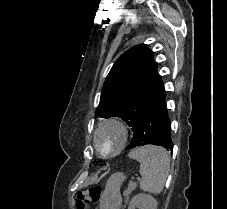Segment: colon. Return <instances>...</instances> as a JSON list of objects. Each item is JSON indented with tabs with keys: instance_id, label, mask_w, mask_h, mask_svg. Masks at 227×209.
I'll list each match as a JSON object with an SVG mask.
<instances>
[{
	"instance_id": "5ec220e1",
	"label": "colon",
	"mask_w": 227,
	"mask_h": 209,
	"mask_svg": "<svg viewBox=\"0 0 227 209\" xmlns=\"http://www.w3.org/2000/svg\"><path fill=\"white\" fill-rule=\"evenodd\" d=\"M102 194V188L96 185L80 190L76 196V209H88L91 204L97 203Z\"/></svg>"
}]
</instances>
